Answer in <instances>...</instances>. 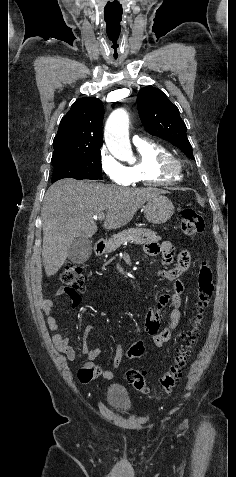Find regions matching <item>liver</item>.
Returning <instances> with one entry per match:
<instances>
[{"instance_id": "liver-1", "label": "liver", "mask_w": 236, "mask_h": 477, "mask_svg": "<svg viewBox=\"0 0 236 477\" xmlns=\"http://www.w3.org/2000/svg\"><path fill=\"white\" fill-rule=\"evenodd\" d=\"M167 191L153 187L124 188L95 182L64 179L50 186L42 208V261L48 277L65 263L78 237L97 232L93 216L106 211L105 229L128 224L148 200Z\"/></svg>"}]
</instances>
